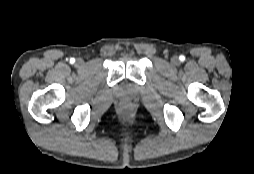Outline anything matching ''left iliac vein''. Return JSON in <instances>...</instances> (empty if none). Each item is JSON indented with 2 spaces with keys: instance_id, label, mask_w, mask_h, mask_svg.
I'll use <instances>...</instances> for the list:
<instances>
[{
  "instance_id": "4c4485c4",
  "label": "left iliac vein",
  "mask_w": 254,
  "mask_h": 174,
  "mask_svg": "<svg viewBox=\"0 0 254 174\" xmlns=\"http://www.w3.org/2000/svg\"><path fill=\"white\" fill-rule=\"evenodd\" d=\"M171 61H172L173 64H178L179 63L178 58L175 57V56L172 57Z\"/></svg>"
}]
</instances>
